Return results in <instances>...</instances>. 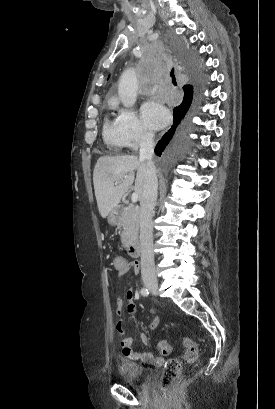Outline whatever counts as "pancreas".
<instances>
[{
	"mask_svg": "<svg viewBox=\"0 0 275 409\" xmlns=\"http://www.w3.org/2000/svg\"><path fill=\"white\" fill-rule=\"evenodd\" d=\"M118 225L124 229V231L121 233L122 247H124V249H128V247H130L133 241H135V239L138 237L139 207H134V205L124 207L120 215Z\"/></svg>",
	"mask_w": 275,
	"mask_h": 409,
	"instance_id": "pancreas-1",
	"label": "pancreas"
}]
</instances>
